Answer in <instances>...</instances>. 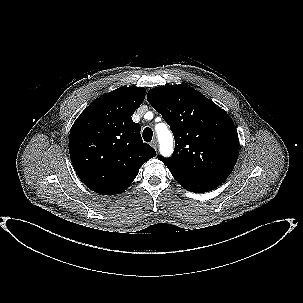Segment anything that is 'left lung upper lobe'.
Returning a JSON list of instances; mask_svg holds the SVG:
<instances>
[{
  "instance_id": "obj_1",
  "label": "left lung upper lobe",
  "mask_w": 303,
  "mask_h": 303,
  "mask_svg": "<svg viewBox=\"0 0 303 303\" xmlns=\"http://www.w3.org/2000/svg\"><path fill=\"white\" fill-rule=\"evenodd\" d=\"M147 100L170 125L175 151L161 160L187 177L229 176L238 158V133L230 116L198 91L185 85L151 89Z\"/></svg>"
}]
</instances>
